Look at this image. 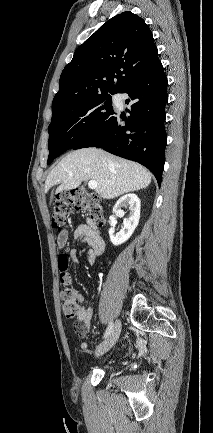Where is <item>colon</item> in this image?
I'll use <instances>...</instances> for the list:
<instances>
[{
  "instance_id": "obj_1",
  "label": "colon",
  "mask_w": 213,
  "mask_h": 433,
  "mask_svg": "<svg viewBox=\"0 0 213 433\" xmlns=\"http://www.w3.org/2000/svg\"><path fill=\"white\" fill-rule=\"evenodd\" d=\"M81 210L85 212L96 224L103 223V207L99 197L83 189H74L62 193L55 201L53 206L52 224L54 228L63 231L74 211ZM69 260L66 254L58 258L59 269L62 271L61 282L64 285L61 291V308L63 314L68 319L77 318L80 310L78 303V293L71 286L70 276L64 271L67 270ZM76 332L81 331L80 325H76Z\"/></svg>"
}]
</instances>
